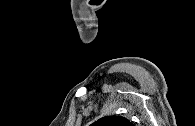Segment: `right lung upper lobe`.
Returning <instances> with one entry per match:
<instances>
[{"label": "right lung upper lobe", "mask_w": 195, "mask_h": 126, "mask_svg": "<svg viewBox=\"0 0 195 126\" xmlns=\"http://www.w3.org/2000/svg\"><path fill=\"white\" fill-rule=\"evenodd\" d=\"M91 126H133V124L121 116H105L91 124Z\"/></svg>", "instance_id": "obj_1"}]
</instances>
